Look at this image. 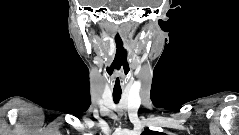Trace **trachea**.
Listing matches in <instances>:
<instances>
[{
    "instance_id": "3493384b",
    "label": "trachea",
    "mask_w": 239,
    "mask_h": 135,
    "mask_svg": "<svg viewBox=\"0 0 239 135\" xmlns=\"http://www.w3.org/2000/svg\"><path fill=\"white\" fill-rule=\"evenodd\" d=\"M120 98H121V93H113L114 103L117 104L120 101Z\"/></svg>"
}]
</instances>
